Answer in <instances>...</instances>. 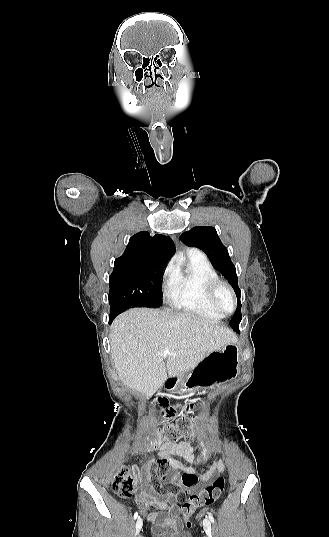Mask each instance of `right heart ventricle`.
Returning a JSON list of instances; mask_svg holds the SVG:
<instances>
[{
    "mask_svg": "<svg viewBox=\"0 0 329 537\" xmlns=\"http://www.w3.org/2000/svg\"><path fill=\"white\" fill-rule=\"evenodd\" d=\"M218 279L215 269L204 255L190 253L187 263L175 269L174 282L167 292V298L178 311L221 319L224 315L210 304L207 296L209 283Z\"/></svg>",
    "mask_w": 329,
    "mask_h": 537,
    "instance_id": "e07e8e85",
    "label": "right heart ventricle"
}]
</instances>
